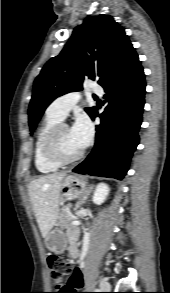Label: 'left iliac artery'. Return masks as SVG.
Returning <instances> with one entry per match:
<instances>
[{"mask_svg":"<svg viewBox=\"0 0 170 293\" xmlns=\"http://www.w3.org/2000/svg\"><path fill=\"white\" fill-rule=\"evenodd\" d=\"M100 288L101 290H107L105 287H102L101 285H100Z\"/></svg>","mask_w":170,"mask_h":293,"instance_id":"1","label":"left iliac artery"}]
</instances>
